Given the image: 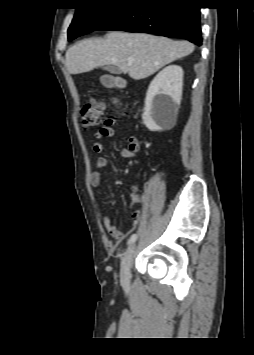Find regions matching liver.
I'll return each mask as SVG.
<instances>
[{
	"instance_id": "6515ba94",
	"label": "liver",
	"mask_w": 254,
	"mask_h": 355,
	"mask_svg": "<svg viewBox=\"0 0 254 355\" xmlns=\"http://www.w3.org/2000/svg\"><path fill=\"white\" fill-rule=\"evenodd\" d=\"M195 46L144 33L114 31L104 38L85 39L65 54L70 74H81L103 65L117 66L135 80L149 77L163 66L191 54ZM133 61L128 63V59Z\"/></svg>"
}]
</instances>
